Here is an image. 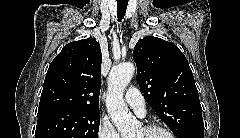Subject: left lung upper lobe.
Instances as JSON below:
<instances>
[{
  "mask_svg": "<svg viewBox=\"0 0 240 138\" xmlns=\"http://www.w3.org/2000/svg\"><path fill=\"white\" fill-rule=\"evenodd\" d=\"M133 58L145 100L177 138L204 128L192 71L175 44L147 36L137 42Z\"/></svg>",
  "mask_w": 240,
  "mask_h": 138,
  "instance_id": "left-lung-upper-lobe-1",
  "label": "left lung upper lobe"
}]
</instances>
